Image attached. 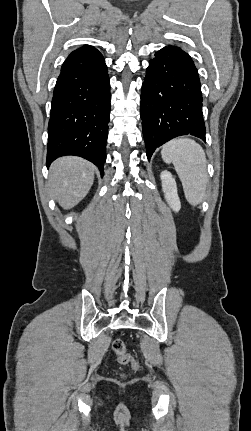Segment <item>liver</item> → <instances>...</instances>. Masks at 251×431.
<instances>
[{"instance_id": "obj_1", "label": "liver", "mask_w": 251, "mask_h": 431, "mask_svg": "<svg viewBox=\"0 0 251 431\" xmlns=\"http://www.w3.org/2000/svg\"><path fill=\"white\" fill-rule=\"evenodd\" d=\"M95 166L80 157H62L50 168L49 187L63 209L76 206L89 192L94 181Z\"/></svg>"}]
</instances>
